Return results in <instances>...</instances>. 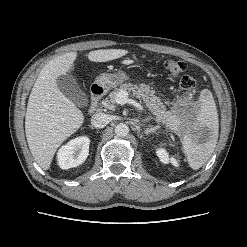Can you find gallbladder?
I'll use <instances>...</instances> for the list:
<instances>
[{"label": "gallbladder", "mask_w": 247, "mask_h": 247, "mask_svg": "<svg viewBox=\"0 0 247 247\" xmlns=\"http://www.w3.org/2000/svg\"><path fill=\"white\" fill-rule=\"evenodd\" d=\"M59 90L78 107H87L89 99L71 74H64L56 79Z\"/></svg>", "instance_id": "1"}]
</instances>
